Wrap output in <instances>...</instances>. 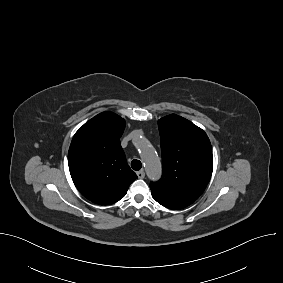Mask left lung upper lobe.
<instances>
[{
    "label": "left lung upper lobe",
    "mask_w": 283,
    "mask_h": 283,
    "mask_svg": "<svg viewBox=\"0 0 283 283\" xmlns=\"http://www.w3.org/2000/svg\"><path fill=\"white\" fill-rule=\"evenodd\" d=\"M162 177L151 182L153 198L169 209H182L198 199L212 175L213 156L206 133L189 120L171 114L158 120Z\"/></svg>",
    "instance_id": "obj_1"
}]
</instances>
